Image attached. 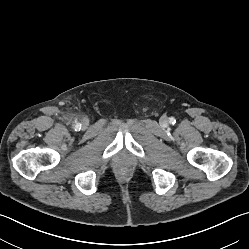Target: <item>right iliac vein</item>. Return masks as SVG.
Here are the masks:
<instances>
[{
    "mask_svg": "<svg viewBox=\"0 0 249 249\" xmlns=\"http://www.w3.org/2000/svg\"><path fill=\"white\" fill-rule=\"evenodd\" d=\"M82 125H83V127H87V126H88V120H87V119H84V120L82 121Z\"/></svg>",
    "mask_w": 249,
    "mask_h": 249,
    "instance_id": "1",
    "label": "right iliac vein"
}]
</instances>
